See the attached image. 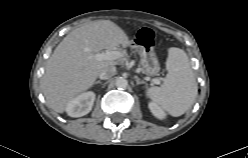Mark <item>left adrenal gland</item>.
<instances>
[{"label": "left adrenal gland", "mask_w": 248, "mask_h": 158, "mask_svg": "<svg viewBox=\"0 0 248 158\" xmlns=\"http://www.w3.org/2000/svg\"><path fill=\"white\" fill-rule=\"evenodd\" d=\"M136 84H137V85L146 84V82L143 81V80H140V79L136 78Z\"/></svg>", "instance_id": "a2214340"}]
</instances>
